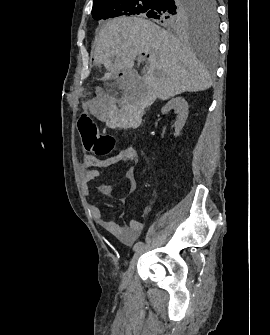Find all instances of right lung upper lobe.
Returning a JSON list of instances; mask_svg holds the SVG:
<instances>
[{"mask_svg":"<svg viewBox=\"0 0 270 335\" xmlns=\"http://www.w3.org/2000/svg\"><path fill=\"white\" fill-rule=\"evenodd\" d=\"M99 0H94V4L97 3Z\"/></svg>","mask_w":270,"mask_h":335,"instance_id":"right-lung-upper-lobe-1","label":"right lung upper lobe"}]
</instances>
